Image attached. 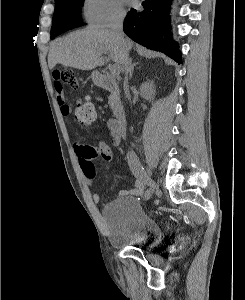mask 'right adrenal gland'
Masks as SVG:
<instances>
[{"instance_id":"2a0ac1e0","label":"right adrenal gland","mask_w":245,"mask_h":300,"mask_svg":"<svg viewBox=\"0 0 245 300\" xmlns=\"http://www.w3.org/2000/svg\"><path fill=\"white\" fill-rule=\"evenodd\" d=\"M136 64H138V63H132V59H130V62H129V77L130 78L132 77L133 70H134V67L136 66Z\"/></svg>"}]
</instances>
